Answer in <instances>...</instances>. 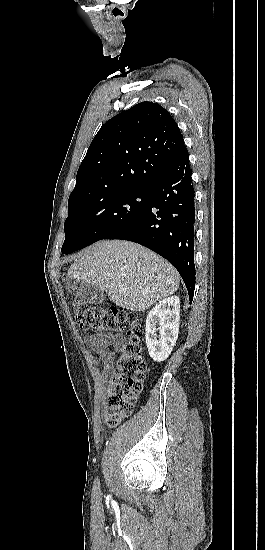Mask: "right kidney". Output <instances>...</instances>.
I'll list each match as a JSON object with an SVG mask.
<instances>
[{
  "label": "right kidney",
  "instance_id": "obj_1",
  "mask_svg": "<svg viewBox=\"0 0 265 550\" xmlns=\"http://www.w3.org/2000/svg\"><path fill=\"white\" fill-rule=\"evenodd\" d=\"M179 320L180 300L177 296L163 299L148 313L145 338L149 355L154 361L162 362L170 355L178 338Z\"/></svg>",
  "mask_w": 265,
  "mask_h": 550
}]
</instances>
